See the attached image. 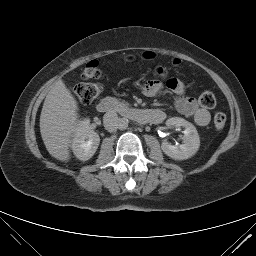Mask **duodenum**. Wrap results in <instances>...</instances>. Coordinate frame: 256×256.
I'll list each match as a JSON object with an SVG mask.
<instances>
[{"instance_id":"1","label":"duodenum","mask_w":256,"mask_h":256,"mask_svg":"<svg viewBox=\"0 0 256 256\" xmlns=\"http://www.w3.org/2000/svg\"><path fill=\"white\" fill-rule=\"evenodd\" d=\"M97 110L101 113L121 111L127 117L141 124L158 123L162 119L161 113L155 110L125 107L112 97L102 99L97 105Z\"/></svg>"}]
</instances>
